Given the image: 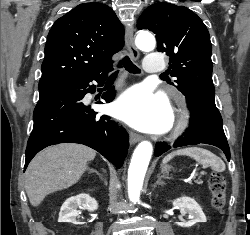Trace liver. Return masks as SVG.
Wrapping results in <instances>:
<instances>
[{
  "label": "liver",
  "instance_id": "obj_1",
  "mask_svg": "<svg viewBox=\"0 0 250 235\" xmlns=\"http://www.w3.org/2000/svg\"><path fill=\"white\" fill-rule=\"evenodd\" d=\"M96 152L80 144L65 143L39 152L25 172V190L31 205L38 206L55 191L76 184Z\"/></svg>",
  "mask_w": 250,
  "mask_h": 235
}]
</instances>
